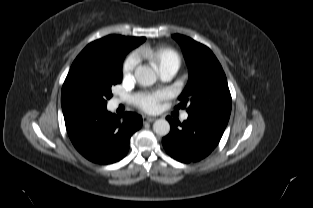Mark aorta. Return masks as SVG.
Listing matches in <instances>:
<instances>
[{
	"label": "aorta",
	"instance_id": "aorta-1",
	"mask_svg": "<svg viewBox=\"0 0 313 208\" xmlns=\"http://www.w3.org/2000/svg\"><path fill=\"white\" fill-rule=\"evenodd\" d=\"M135 78L142 86H151L157 81L154 70L145 65H140L136 68ZM153 130L157 135L166 136L170 132V124L165 119H158L153 124Z\"/></svg>",
	"mask_w": 313,
	"mask_h": 208
}]
</instances>
